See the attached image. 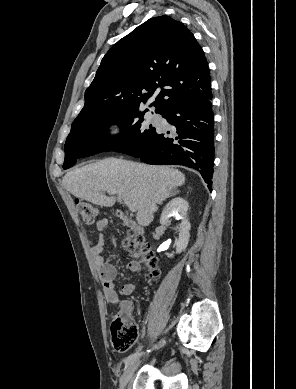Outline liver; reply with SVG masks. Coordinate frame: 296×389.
<instances>
[{
	"label": "liver",
	"mask_w": 296,
	"mask_h": 389,
	"mask_svg": "<svg viewBox=\"0 0 296 389\" xmlns=\"http://www.w3.org/2000/svg\"><path fill=\"white\" fill-rule=\"evenodd\" d=\"M62 182L72 195L95 205L110 207L116 200L129 201L136 206L137 222L148 226L157 205L185 183V175L165 166L107 158L67 172Z\"/></svg>",
	"instance_id": "1"
}]
</instances>
